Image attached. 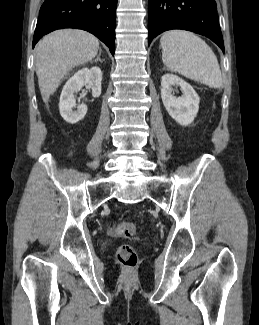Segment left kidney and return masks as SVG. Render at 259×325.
Returning <instances> with one entry per match:
<instances>
[{"mask_svg": "<svg viewBox=\"0 0 259 325\" xmlns=\"http://www.w3.org/2000/svg\"><path fill=\"white\" fill-rule=\"evenodd\" d=\"M173 86H180L183 94L176 97ZM161 98L168 114L180 125L194 121L199 110V97L193 87L176 75L165 74L161 80Z\"/></svg>", "mask_w": 259, "mask_h": 325, "instance_id": "1", "label": "left kidney"}]
</instances>
